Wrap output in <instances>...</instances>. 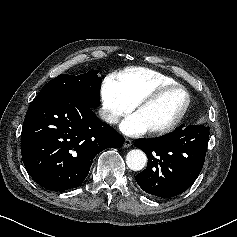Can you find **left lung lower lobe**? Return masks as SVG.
Instances as JSON below:
<instances>
[{
	"instance_id": "0a47b994",
	"label": "left lung lower lobe",
	"mask_w": 237,
	"mask_h": 237,
	"mask_svg": "<svg viewBox=\"0 0 237 237\" xmlns=\"http://www.w3.org/2000/svg\"><path fill=\"white\" fill-rule=\"evenodd\" d=\"M210 127L180 125L153 139H138L135 146L148 157V165L135 179L142 190L170 198L186 191L199 176L206 156Z\"/></svg>"
}]
</instances>
